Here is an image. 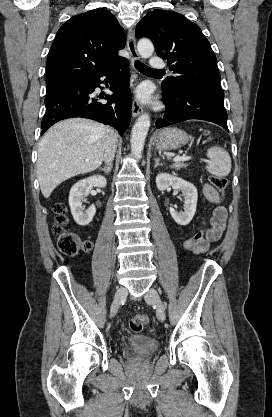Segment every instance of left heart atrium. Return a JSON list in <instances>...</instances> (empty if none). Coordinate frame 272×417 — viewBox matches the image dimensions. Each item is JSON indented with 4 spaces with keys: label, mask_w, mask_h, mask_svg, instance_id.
Returning <instances> with one entry per match:
<instances>
[{
    "label": "left heart atrium",
    "mask_w": 272,
    "mask_h": 417,
    "mask_svg": "<svg viewBox=\"0 0 272 417\" xmlns=\"http://www.w3.org/2000/svg\"><path fill=\"white\" fill-rule=\"evenodd\" d=\"M136 97L142 102H148L151 99V91L148 86H141L136 91Z\"/></svg>",
    "instance_id": "39dd6f15"
}]
</instances>
